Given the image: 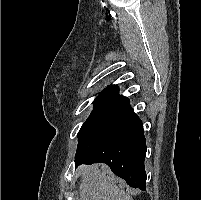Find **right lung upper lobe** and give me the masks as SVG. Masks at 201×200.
I'll use <instances>...</instances> for the list:
<instances>
[{
    "mask_svg": "<svg viewBox=\"0 0 201 200\" xmlns=\"http://www.w3.org/2000/svg\"><path fill=\"white\" fill-rule=\"evenodd\" d=\"M103 93H112V94L118 95V87L117 86L108 87L103 90Z\"/></svg>",
    "mask_w": 201,
    "mask_h": 200,
    "instance_id": "right-lung-upper-lobe-1",
    "label": "right lung upper lobe"
}]
</instances>
